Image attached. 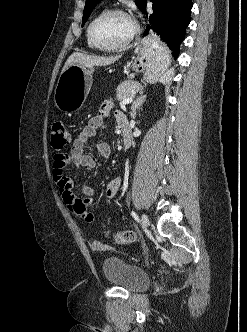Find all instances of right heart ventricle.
I'll return each mask as SVG.
<instances>
[{"instance_id": "right-heart-ventricle-1", "label": "right heart ventricle", "mask_w": 247, "mask_h": 332, "mask_svg": "<svg viewBox=\"0 0 247 332\" xmlns=\"http://www.w3.org/2000/svg\"><path fill=\"white\" fill-rule=\"evenodd\" d=\"M91 22H92V20L90 21V23L88 24L87 29H86L87 44H88L89 48H91V49H99V48L93 43V41L91 40L90 35H89V26H90Z\"/></svg>"}]
</instances>
